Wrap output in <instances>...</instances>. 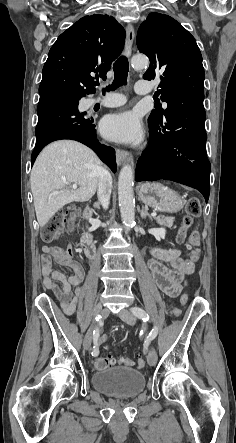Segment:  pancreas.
<instances>
[{"label": "pancreas", "mask_w": 236, "mask_h": 443, "mask_svg": "<svg viewBox=\"0 0 236 443\" xmlns=\"http://www.w3.org/2000/svg\"><path fill=\"white\" fill-rule=\"evenodd\" d=\"M160 226L171 228L174 223L173 217L158 216L154 218Z\"/></svg>", "instance_id": "pancreas-1"}]
</instances>
